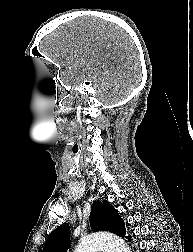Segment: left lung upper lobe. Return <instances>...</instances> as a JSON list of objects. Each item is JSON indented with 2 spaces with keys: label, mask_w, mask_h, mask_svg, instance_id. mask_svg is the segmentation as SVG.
Segmentation results:
<instances>
[{
  "label": "left lung upper lobe",
  "mask_w": 193,
  "mask_h": 252,
  "mask_svg": "<svg viewBox=\"0 0 193 252\" xmlns=\"http://www.w3.org/2000/svg\"><path fill=\"white\" fill-rule=\"evenodd\" d=\"M90 226L93 231H109L120 237L126 234L125 224L118 212L106 200L95 201L90 214ZM69 225L57 227L48 237L42 252H66L70 246Z\"/></svg>",
  "instance_id": "1"
}]
</instances>
